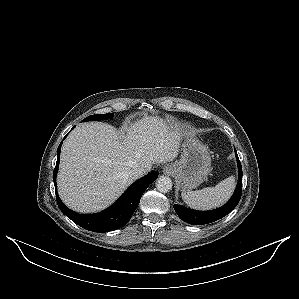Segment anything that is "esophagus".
<instances>
[{
    "label": "esophagus",
    "mask_w": 299,
    "mask_h": 299,
    "mask_svg": "<svg viewBox=\"0 0 299 299\" xmlns=\"http://www.w3.org/2000/svg\"><path fill=\"white\" fill-rule=\"evenodd\" d=\"M163 173L165 175H171L173 173V168L170 165H166L163 167Z\"/></svg>",
    "instance_id": "esophagus-1"
}]
</instances>
